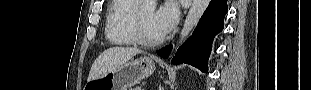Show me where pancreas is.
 Wrapping results in <instances>:
<instances>
[{"mask_svg":"<svg viewBox=\"0 0 311 90\" xmlns=\"http://www.w3.org/2000/svg\"><path fill=\"white\" fill-rule=\"evenodd\" d=\"M132 90H141V88H139V87H136L135 89H132Z\"/></svg>","mask_w":311,"mask_h":90,"instance_id":"1","label":"pancreas"}]
</instances>
